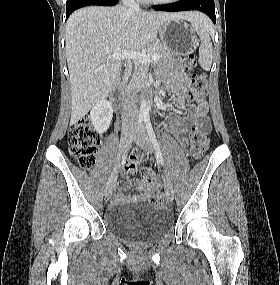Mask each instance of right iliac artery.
<instances>
[{
  "mask_svg": "<svg viewBox=\"0 0 280 285\" xmlns=\"http://www.w3.org/2000/svg\"><path fill=\"white\" fill-rule=\"evenodd\" d=\"M144 118L143 117H139L138 119V128L142 125ZM127 152V150H126ZM126 158V154L123 155L122 159L124 160Z\"/></svg>",
  "mask_w": 280,
  "mask_h": 285,
  "instance_id": "right-iliac-artery-1",
  "label": "right iliac artery"
}]
</instances>
